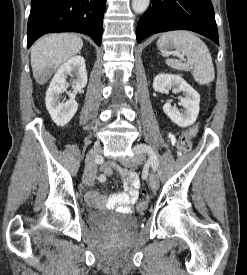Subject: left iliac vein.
<instances>
[{"instance_id":"4c4485c4","label":"left iliac vein","mask_w":247,"mask_h":275,"mask_svg":"<svg viewBox=\"0 0 247 275\" xmlns=\"http://www.w3.org/2000/svg\"><path fill=\"white\" fill-rule=\"evenodd\" d=\"M134 150H135L136 154L133 157L124 159L122 161V164L124 166L134 167V166L141 165L144 162V156L142 155V153H140L138 151V146H135ZM158 185H159V180H158L157 175L155 174V172H151L150 175H149V186H150V188L153 191H155V190H157Z\"/></svg>"}]
</instances>
